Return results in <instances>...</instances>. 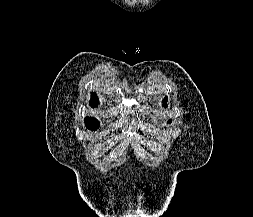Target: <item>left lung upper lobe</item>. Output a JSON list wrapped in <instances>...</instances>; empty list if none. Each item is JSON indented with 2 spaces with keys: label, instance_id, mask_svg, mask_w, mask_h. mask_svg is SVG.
Segmentation results:
<instances>
[{
  "label": "left lung upper lobe",
  "instance_id": "left-lung-upper-lobe-1",
  "mask_svg": "<svg viewBox=\"0 0 253 217\" xmlns=\"http://www.w3.org/2000/svg\"><path fill=\"white\" fill-rule=\"evenodd\" d=\"M167 98L164 99V106L166 107Z\"/></svg>",
  "mask_w": 253,
  "mask_h": 217
}]
</instances>
